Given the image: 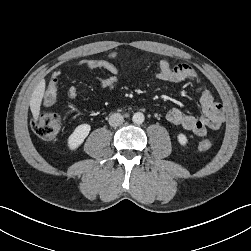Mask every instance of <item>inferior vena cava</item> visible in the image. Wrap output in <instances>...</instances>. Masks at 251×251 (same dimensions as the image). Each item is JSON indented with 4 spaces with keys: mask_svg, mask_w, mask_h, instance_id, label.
Instances as JSON below:
<instances>
[{
    "mask_svg": "<svg viewBox=\"0 0 251 251\" xmlns=\"http://www.w3.org/2000/svg\"><path fill=\"white\" fill-rule=\"evenodd\" d=\"M124 122V118L120 113H114L109 117V124L112 127H117Z\"/></svg>",
    "mask_w": 251,
    "mask_h": 251,
    "instance_id": "inferior-vena-cava-1",
    "label": "inferior vena cava"
}]
</instances>
